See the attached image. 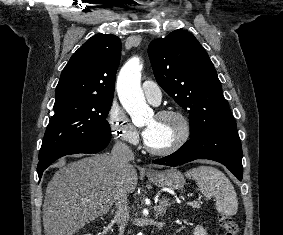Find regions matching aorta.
Wrapping results in <instances>:
<instances>
[{"label":"aorta","mask_w":283,"mask_h":235,"mask_svg":"<svg viewBox=\"0 0 283 235\" xmlns=\"http://www.w3.org/2000/svg\"><path fill=\"white\" fill-rule=\"evenodd\" d=\"M142 63L138 57L128 60L119 72L117 92L122 106L134 124L144 122L152 114L140 87ZM137 235H143L139 232Z\"/></svg>","instance_id":"obj_1"}]
</instances>
